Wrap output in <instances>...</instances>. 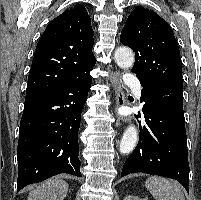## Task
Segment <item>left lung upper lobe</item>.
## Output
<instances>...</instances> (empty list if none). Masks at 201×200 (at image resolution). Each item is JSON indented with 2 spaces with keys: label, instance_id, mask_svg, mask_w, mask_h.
I'll return each mask as SVG.
<instances>
[{
  "label": "left lung upper lobe",
  "instance_id": "obj_1",
  "mask_svg": "<svg viewBox=\"0 0 201 200\" xmlns=\"http://www.w3.org/2000/svg\"><path fill=\"white\" fill-rule=\"evenodd\" d=\"M120 41L135 52L132 72L142 86L183 84L177 41L168 23L155 12L136 7L126 20Z\"/></svg>",
  "mask_w": 201,
  "mask_h": 200
}]
</instances>
